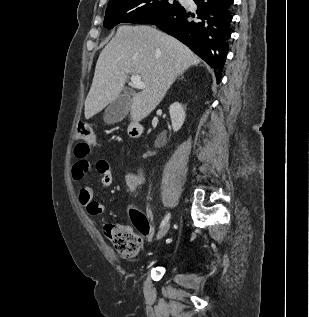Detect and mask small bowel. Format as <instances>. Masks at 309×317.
Masks as SVG:
<instances>
[{"instance_id":"1","label":"small bowel","mask_w":309,"mask_h":317,"mask_svg":"<svg viewBox=\"0 0 309 317\" xmlns=\"http://www.w3.org/2000/svg\"><path fill=\"white\" fill-rule=\"evenodd\" d=\"M85 150L76 148V159L71 168V177L74 181L82 180L92 171L91 162L85 157ZM96 170L101 174V183L103 188H108L113 181L109 164L106 160H99L96 164ZM143 181L141 173L129 172L125 177L126 185L130 190H135ZM78 201L85 208L90 216H97L104 210L101 201L95 199L94 189L90 185H85L78 192Z\"/></svg>"}]
</instances>
